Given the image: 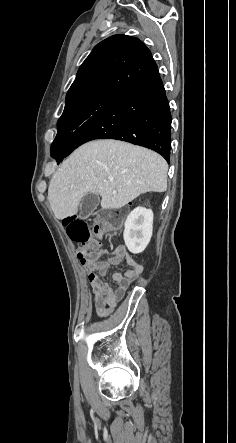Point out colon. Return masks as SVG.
<instances>
[{
    "label": "colon",
    "mask_w": 236,
    "mask_h": 443,
    "mask_svg": "<svg viewBox=\"0 0 236 443\" xmlns=\"http://www.w3.org/2000/svg\"><path fill=\"white\" fill-rule=\"evenodd\" d=\"M124 216L121 212H114L107 218L97 221L91 226L87 221L78 217H66L64 224L71 241L80 245L77 257L80 261L90 262L99 256L100 246L90 243L92 233L100 239L112 237L123 225Z\"/></svg>",
    "instance_id": "1"
}]
</instances>
